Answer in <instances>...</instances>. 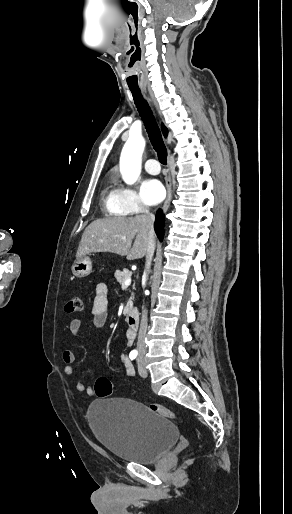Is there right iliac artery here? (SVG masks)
Returning <instances> with one entry per match:
<instances>
[{
	"label": "right iliac artery",
	"instance_id": "obj_1",
	"mask_svg": "<svg viewBox=\"0 0 292 514\" xmlns=\"http://www.w3.org/2000/svg\"><path fill=\"white\" fill-rule=\"evenodd\" d=\"M129 357L131 360L135 359L137 357V351H131Z\"/></svg>",
	"mask_w": 292,
	"mask_h": 514
}]
</instances>
